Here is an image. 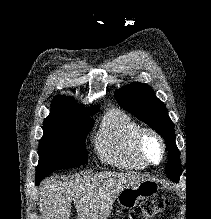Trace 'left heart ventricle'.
Returning <instances> with one entry per match:
<instances>
[{
	"label": "left heart ventricle",
	"instance_id": "left-heart-ventricle-1",
	"mask_svg": "<svg viewBox=\"0 0 211 219\" xmlns=\"http://www.w3.org/2000/svg\"><path fill=\"white\" fill-rule=\"evenodd\" d=\"M143 149L146 156L152 161H158L160 157V146L151 137L146 138L143 144Z\"/></svg>",
	"mask_w": 211,
	"mask_h": 219
}]
</instances>
